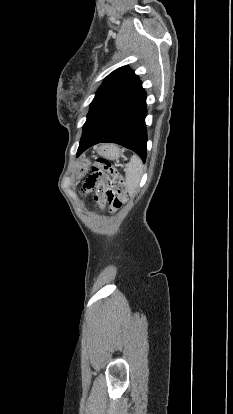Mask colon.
<instances>
[{"label":"colon","mask_w":233,"mask_h":414,"mask_svg":"<svg viewBox=\"0 0 233 414\" xmlns=\"http://www.w3.org/2000/svg\"><path fill=\"white\" fill-rule=\"evenodd\" d=\"M85 189L96 190V200L101 206L120 207L126 199V184L122 175L110 161L102 158L94 162Z\"/></svg>","instance_id":"5ec220e1"}]
</instances>
